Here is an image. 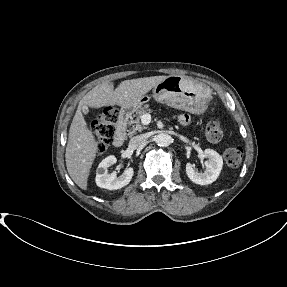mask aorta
Listing matches in <instances>:
<instances>
[{
	"label": "aorta",
	"mask_w": 287,
	"mask_h": 287,
	"mask_svg": "<svg viewBox=\"0 0 287 287\" xmlns=\"http://www.w3.org/2000/svg\"><path fill=\"white\" fill-rule=\"evenodd\" d=\"M155 142L158 146L160 147H167L171 144L172 138L169 134L167 133H159L155 137Z\"/></svg>",
	"instance_id": "762f6f07"
}]
</instances>
